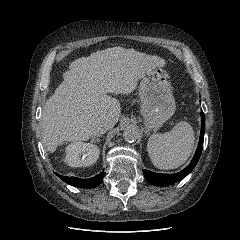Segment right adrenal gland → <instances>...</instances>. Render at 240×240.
Segmentation results:
<instances>
[{"mask_svg": "<svg viewBox=\"0 0 240 240\" xmlns=\"http://www.w3.org/2000/svg\"><path fill=\"white\" fill-rule=\"evenodd\" d=\"M91 142H100V138H98V136L97 137H92V140H91Z\"/></svg>", "mask_w": 240, "mask_h": 240, "instance_id": "2a0ac1e0", "label": "right adrenal gland"}]
</instances>
